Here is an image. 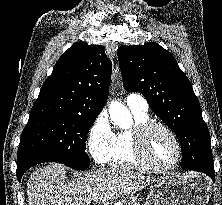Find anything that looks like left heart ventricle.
<instances>
[{
  "mask_svg": "<svg viewBox=\"0 0 222 205\" xmlns=\"http://www.w3.org/2000/svg\"><path fill=\"white\" fill-rule=\"evenodd\" d=\"M146 149L152 160L162 166L170 165L176 158V147L172 138L159 128L148 133Z\"/></svg>",
  "mask_w": 222,
  "mask_h": 205,
  "instance_id": "1",
  "label": "left heart ventricle"
}]
</instances>
